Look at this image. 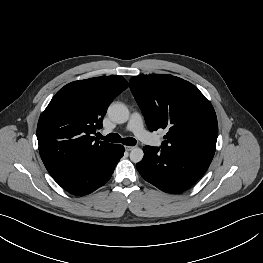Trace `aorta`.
I'll use <instances>...</instances> for the list:
<instances>
[{
    "mask_svg": "<svg viewBox=\"0 0 263 263\" xmlns=\"http://www.w3.org/2000/svg\"><path fill=\"white\" fill-rule=\"evenodd\" d=\"M108 116L116 123L122 124L129 119V110L127 106L121 102H114L108 108ZM144 157V152L141 148L135 147L130 152V160L134 163L140 162Z\"/></svg>",
    "mask_w": 263,
    "mask_h": 263,
    "instance_id": "1",
    "label": "aorta"
}]
</instances>
